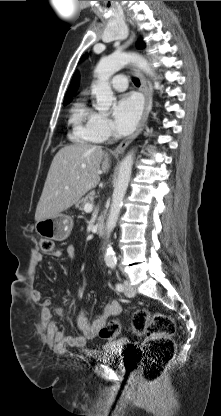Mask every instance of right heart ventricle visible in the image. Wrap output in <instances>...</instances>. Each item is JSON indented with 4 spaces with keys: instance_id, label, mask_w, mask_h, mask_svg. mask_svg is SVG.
<instances>
[{
    "instance_id": "1",
    "label": "right heart ventricle",
    "mask_w": 221,
    "mask_h": 416,
    "mask_svg": "<svg viewBox=\"0 0 221 416\" xmlns=\"http://www.w3.org/2000/svg\"><path fill=\"white\" fill-rule=\"evenodd\" d=\"M92 111L83 102H77L72 108L70 121L73 125V137L78 142L95 143L100 141L89 127Z\"/></svg>"
}]
</instances>
